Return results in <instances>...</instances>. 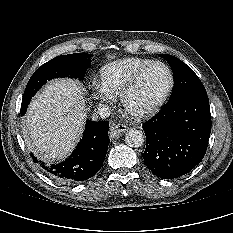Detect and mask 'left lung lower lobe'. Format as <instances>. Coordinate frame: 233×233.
I'll return each instance as SVG.
<instances>
[{
	"instance_id": "left-lung-lower-lobe-1",
	"label": "left lung lower lobe",
	"mask_w": 233,
	"mask_h": 233,
	"mask_svg": "<svg viewBox=\"0 0 233 233\" xmlns=\"http://www.w3.org/2000/svg\"><path fill=\"white\" fill-rule=\"evenodd\" d=\"M143 129L145 165L163 179L182 176L206 153L211 132L209 99L207 95H188L169 100Z\"/></svg>"
}]
</instances>
